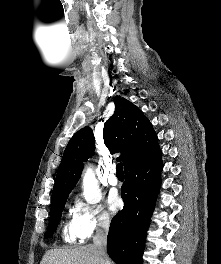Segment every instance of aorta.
<instances>
[{
  "label": "aorta",
  "instance_id": "aorta-1",
  "mask_svg": "<svg viewBox=\"0 0 221 264\" xmlns=\"http://www.w3.org/2000/svg\"><path fill=\"white\" fill-rule=\"evenodd\" d=\"M83 194L86 200L91 201L99 193L98 181L93 170L88 167L83 176Z\"/></svg>",
  "mask_w": 221,
  "mask_h": 264
}]
</instances>
